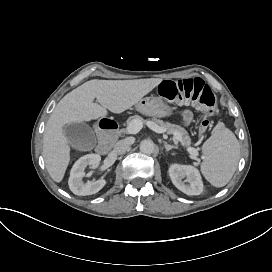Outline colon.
Wrapping results in <instances>:
<instances>
[{
	"label": "colon",
	"mask_w": 272,
	"mask_h": 272,
	"mask_svg": "<svg viewBox=\"0 0 272 272\" xmlns=\"http://www.w3.org/2000/svg\"><path fill=\"white\" fill-rule=\"evenodd\" d=\"M159 94L170 102L190 103L204 107L201 133L206 131L210 126V118L218 112L216 95L202 78L163 81L159 87Z\"/></svg>",
	"instance_id": "obj_1"
}]
</instances>
